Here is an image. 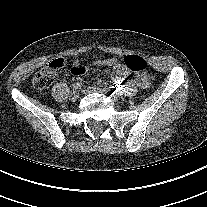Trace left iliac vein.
Here are the masks:
<instances>
[{
  "mask_svg": "<svg viewBox=\"0 0 207 207\" xmlns=\"http://www.w3.org/2000/svg\"><path fill=\"white\" fill-rule=\"evenodd\" d=\"M83 92L84 93H95V92L106 93L107 90L106 89H102V88H97V87L89 86V87H86L83 90ZM107 96L109 97V100L112 101V102H117L118 101V98L116 96H113V93L111 91L107 92Z\"/></svg>",
  "mask_w": 207,
  "mask_h": 207,
  "instance_id": "obj_1",
  "label": "left iliac vein"
}]
</instances>
